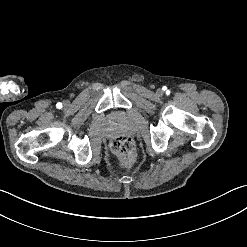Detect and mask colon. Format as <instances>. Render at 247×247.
<instances>
[{"label": "colon", "instance_id": "obj_1", "mask_svg": "<svg viewBox=\"0 0 247 247\" xmlns=\"http://www.w3.org/2000/svg\"><path fill=\"white\" fill-rule=\"evenodd\" d=\"M112 148L119 155L122 166H129L135 160V147L132 143V140L128 136H117L112 142Z\"/></svg>", "mask_w": 247, "mask_h": 247}]
</instances>
